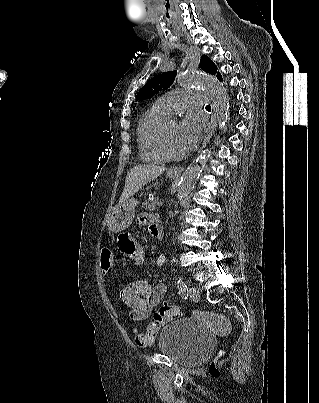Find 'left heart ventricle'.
I'll list each match as a JSON object with an SVG mask.
<instances>
[{"label":"left heart ventricle","mask_w":319,"mask_h":403,"mask_svg":"<svg viewBox=\"0 0 319 403\" xmlns=\"http://www.w3.org/2000/svg\"><path fill=\"white\" fill-rule=\"evenodd\" d=\"M179 124L176 121H169L167 124V139L171 149L175 152H182L184 148L179 141Z\"/></svg>","instance_id":"1"}]
</instances>
